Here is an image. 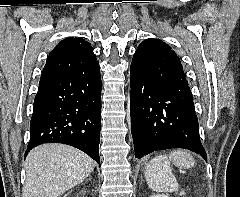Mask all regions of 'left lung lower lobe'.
Instances as JSON below:
<instances>
[{
  "label": "left lung lower lobe",
  "mask_w": 240,
  "mask_h": 197,
  "mask_svg": "<svg viewBox=\"0 0 240 197\" xmlns=\"http://www.w3.org/2000/svg\"><path fill=\"white\" fill-rule=\"evenodd\" d=\"M131 132L135 157L153 151L185 148L207 160L200 142L193 96L185 77L131 67Z\"/></svg>",
  "instance_id": "left-lung-lower-lobe-1"
}]
</instances>
